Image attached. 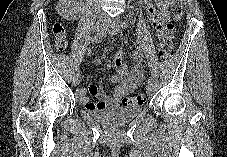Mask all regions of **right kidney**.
I'll list each match as a JSON object with an SVG mask.
<instances>
[{"instance_id":"right-kidney-1","label":"right kidney","mask_w":227,"mask_h":157,"mask_svg":"<svg viewBox=\"0 0 227 157\" xmlns=\"http://www.w3.org/2000/svg\"><path fill=\"white\" fill-rule=\"evenodd\" d=\"M74 1L60 0L59 5L57 6L58 13L65 19L75 20L78 16L76 8L70 6V3Z\"/></svg>"}]
</instances>
